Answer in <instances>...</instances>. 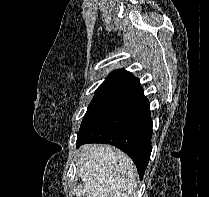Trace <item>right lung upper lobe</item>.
Segmentation results:
<instances>
[{"label": "right lung upper lobe", "mask_w": 209, "mask_h": 197, "mask_svg": "<svg viewBox=\"0 0 209 197\" xmlns=\"http://www.w3.org/2000/svg\"><path fill=\"white\" fill-rule=\"evenodd\" d=\"M102 84H114L136 90L140 93L143 92V88L140 85L139 79L124 69L115 70L114 72L110 73Z\"/></svg>", "instance_id": "cb5924a9"}]
</instances>
